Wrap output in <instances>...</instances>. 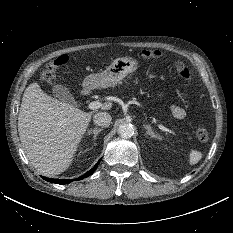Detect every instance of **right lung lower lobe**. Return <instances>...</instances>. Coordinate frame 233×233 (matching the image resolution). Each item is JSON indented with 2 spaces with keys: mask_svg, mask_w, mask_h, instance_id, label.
Listing matches in <instances>:
<instances>
[{
  "mask_svg": "<svg viewBox=\"0 0 233 233\" xmlns=\"http://www.w3.org/2000/svg\"><path fill=\"white\" fill-rule=\"evenodd\" d=\"M99 162H100V160L97 162V164L90 171L85 173L83 176L79 177L77 180H81V179L86 178L89 175H91L94 172V170L97 168ZM42 178L45 179L46 181L56 183V184H67V183H70L73 181V180L52 179V178H46V177H42Z\"/></svg>",
  "mask_w": 233,
  "mask_h": 233,
  "instance_id": "1",
  "label": "right lung lower lobe"
}]
</instances>
